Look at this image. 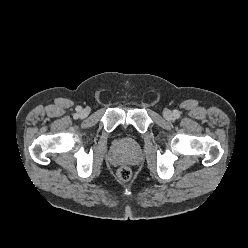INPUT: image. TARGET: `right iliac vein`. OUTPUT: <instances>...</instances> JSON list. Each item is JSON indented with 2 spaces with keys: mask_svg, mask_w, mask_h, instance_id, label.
<instances>
[{
  "mask_svg": "<svg viewBox=\"0 0 248 248\" xmlns=\"http://www.w3.org/2000/svg\"><path fill=\"white\" fill-rule=\"evenodd\" d=\"M88 114H89V111L86 109L82 110V112H81L82 117H86Z\"/></svg>",
  "mask_w": 248,
  "mask_h": 248,
  "instance_id": "63e3f726",
  "label": "right iliac vein"
}]
</instances>
